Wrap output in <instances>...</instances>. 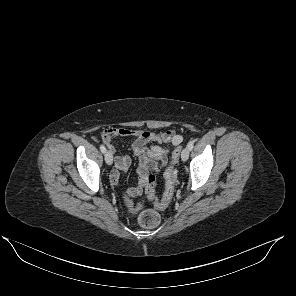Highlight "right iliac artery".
<instances>
[{
	"label": "right iliac artery",
	"mask_w": 296,
	"mask_h": 296,
	"mask_svg": "<svg viewBox=\"0 0 296 296\" xmlns=\"http://www.w3.org/2000/svg\"><path fill=\"white\" fill-rule=\"evenodd\" d=\"M100 150L102 153H105L106 152V148L104 145H100Z\"/></svg>",
	"instance_id": "82829eb1"
}]
</instances>
